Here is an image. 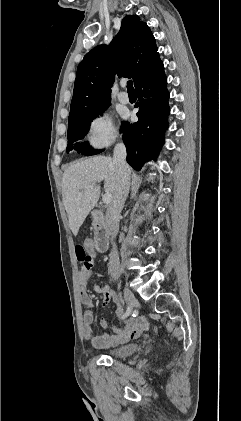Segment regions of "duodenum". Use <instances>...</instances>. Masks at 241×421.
I'll list each match as a JSON object with an SVG mask.
<instances>
[{
	"instance_id": "410a0bca",
	"label": "duodenum",
	"mask_w": 241,
	"mask_h": 421,
	"mask_svg": "<svg viewBox=\"0 0 241 421\" xmlns=\"http://www.w3.org/2000/svg\"><path fill=\"white\" fill-rule=\"evenodd\" d=\"M94 223V244L98 252H105L108 249L110 232L106 224L105 215L99 210L91 212Z\"/></svg>"
}]
</instances>
